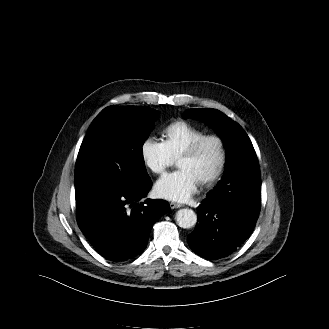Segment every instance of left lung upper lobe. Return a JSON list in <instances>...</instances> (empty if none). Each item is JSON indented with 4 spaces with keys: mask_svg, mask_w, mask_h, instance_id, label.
<instances>
[{
    "mask_svg": "<svg viewBox=\"0 0 329 329\" xmlns=\"http://www.w3.org/2000/svg\"><path fill=\"white\" fill-rule=\"evenodd\" d=\"M185 119L195 118L212 126L227 146V164L219 184L210 191L207 198L219 200L224 197L223 187L232 179L249 171L253 164H258L253 145L243 128L228 116L216 109H188Z\"/></svg>",
    "mask_w": 329,
    "mask_h": 329,
    "instance_id": "left-lung-upper-lobe-1",
    "label": "left lung upper lobe"
}]
</instances>
